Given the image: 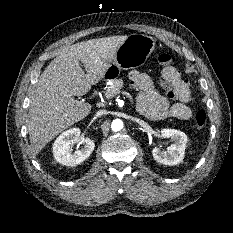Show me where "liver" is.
<instances>
[{
    "mask_svg": "<svg viewBox=\"0 0 233 233\" xmlns=\"http://www.w3.org/2000/svg\"><path fill=\"white\" fill-rule=\"evenodd\" d=\"M126 38L111 36L73 44L63 48L45 68L29 107L28 132L33 156L90 113L91 104L74 96L85 95L104 77Z\"/></svg>",
    "mask_w": 233,
    "mask_h": 233,
    "instance_id": "1",
    "label": "liver"
}]
</instances>
